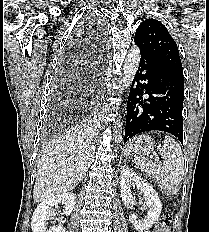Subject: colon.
<instances>
[{
	"label": "colon",
	"instance_id": "obj_1",
	"mask_svg": "<svg viewBox=\"0 0 209 232\" xmlns=\"http://www.w3.org/2000/svg\"><path fill=\"white\" fill-rule=\"evenodd\" d=\"M171 222V217L168 214H163L158 221V228L162 231L167 229V226Z\"/></svg>",
	"mask_w": 209,
	"mask_h": 232
}]
</instances>
